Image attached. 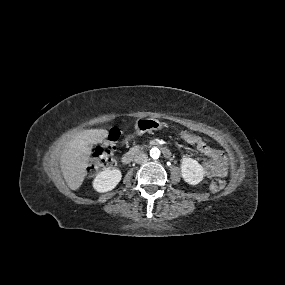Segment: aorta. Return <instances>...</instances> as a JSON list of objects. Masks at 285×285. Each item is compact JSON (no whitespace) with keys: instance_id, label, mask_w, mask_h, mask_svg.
Listing matches in <instances>:
<instances>
[{"instance_id":"1","label":"aorta","mask_w":285,"mask_h":285,"mask_svg":"<svg viewBox=\"0 0 285 285\" xmlns=\"http://www.w3.org/2000/svg\"><path fill=\"white\" fill-rule=\"evenodd\" d=\"M160 155H161V152L158 148H152L150 150V157L152 159H158L160 157Z\"/></svg>"}]
</instances>
